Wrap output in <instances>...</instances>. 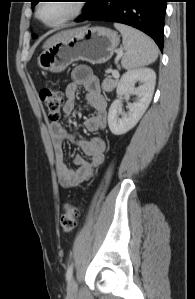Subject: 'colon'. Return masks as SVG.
<instances>
[{
	"mask_svg": "<svg viewBox=\"0 0 195 299\" xmlns=\"http://www.w3.org/2000/svg\"><path fill=\"white\" fill-rule=\"evenodd\" d=\"M39 97L46 108L49 119L52 122H57L60 118L61 107L64 101L63 93L59 89L45 85L40 89ZM80 214L81 207L79 205L67 203L60 219L62 232L66 234L71 233L77 225Z\"/></svg>",
	"mask_w": 195,
	"mask_h": 299,
	"instance_id": "5ec220e1",
	"label": "colon"
}]
</instances>
